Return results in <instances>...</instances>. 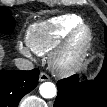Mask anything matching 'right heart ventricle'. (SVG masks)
<instances>
[{
	"label": "right heart ventricle",
	"mask_w": 107,
	"mask_h": 107,
	"mask_svg": "<svg viewBox=\"0 0 107 107\" xmlns=\"http://www.w3.org/2000/svg\"><path fill=\"white\" fill-rule=\"evenodd\" d=\"M81 22L82 19L78 15L66 14L34 23L27 30V44L38 55L49 54Z\"/></svg>",
	"instance_id": "obj_1"
}]
</instances>
